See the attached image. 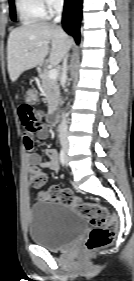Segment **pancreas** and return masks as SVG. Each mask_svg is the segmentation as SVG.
Segmentation results:
<instances>
[{"mask_svg":"<svg viewBox=\"0 0 134 281\" xmlns=\"http://www.w3.org/2000/svg\"><path fill=\"white\" fill-rule=\"evenodd\" d=\"M48 70L45 69L40 78L42 81V90L45 93V98L48 103V111H55L59 103V86L56 79H50L48 76Z\"/></svg>","mask_w":134,"mask_h":281,"instance_id":"cf45deb5","label":"pancreas"}]
</instances>
